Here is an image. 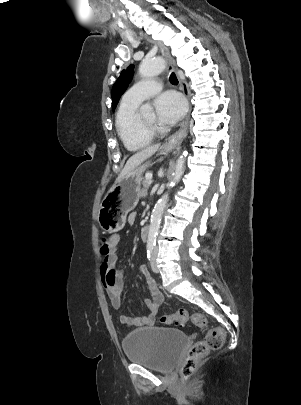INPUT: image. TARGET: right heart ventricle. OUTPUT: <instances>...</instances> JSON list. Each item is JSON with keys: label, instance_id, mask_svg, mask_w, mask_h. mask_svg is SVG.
<instances>
[{"label": "right heart ventricle", "instance_id": "1", "mask_svg": "<svg viewBox=\"0 0 301 405\" xmlns=\"http://www.w3.org/2000/svg\"><path fill=\"white\" fill-rule=\"evenodd\" d=\"M137 108L138 105L136 104H128L122 101L115 117L117 133L125 148L131 152L146 147L153 139V136L139 130Z\"/></svg>", "mask_w": 301, "mask_h": 405}]
</instances>
